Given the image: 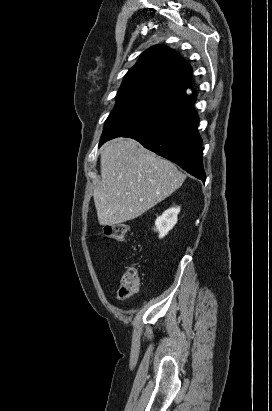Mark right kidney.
Instances as JSON below:
<instances>
[{"mask_svg": "<svg viewBox=\"0 0 272 411\" xmlns=\"http://www.w3.org/2000/svg\"><path fill=\"white\" fill-rule=\"evenodd\" d=\"M180 207H172L163 212L155 221L156 231L159 232V238H163L177 223V216Z\"/></svg>", "mask_w": 272, "mask_h": 411, "instance_id": "1", "label": "right kidney"}]
</instances>
